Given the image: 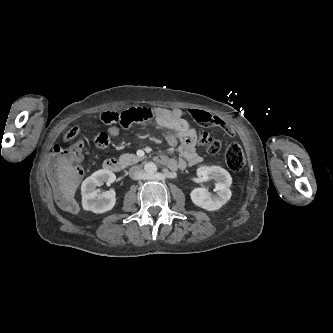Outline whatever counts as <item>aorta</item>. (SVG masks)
<instances>
[{"instance_id": "obj_1", "label": "aorta", "mask_w": 333, "mask_h": 333, "mask_svg": "<svg viewBox=\"0 0 333 333\" xmlns=\"http://www.w3.org/2000/svg\"><path fill=\"white\" fill-rule=\"evenodd\" d=\"M144 171L149 175L155 174L157 172V166L153 162H147L144 165Z\"/></svg>"}]
</instances>
